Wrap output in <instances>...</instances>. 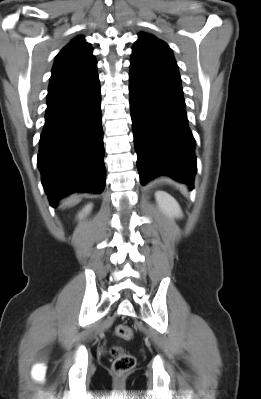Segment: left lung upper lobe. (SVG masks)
<instances>
[{"label": "left lung upper lobe", "instance_id": "1", "mask_svg": "<svg viewBox=\"0 0 261 399\" xmlns=\"http://www.w3.org/2000/svg\"><path fill=\"white\" fill-rule=\"evenodd\" d=\"M141 69L177 76L178 66L172 50L162 40L141 32L131 55V65Z\"/></svg>", "mask_w": 261, "mask_h": 399}]
</instances>
